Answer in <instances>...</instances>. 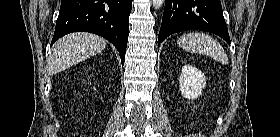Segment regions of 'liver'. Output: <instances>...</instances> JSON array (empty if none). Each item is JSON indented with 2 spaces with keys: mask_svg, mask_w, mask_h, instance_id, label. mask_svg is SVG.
<instances>
[{
  "mask_svg": "<svg viewBox=\"0 0 280 137\" xmlns=\"http://www.w3.org/2000/svg\"><path fill=\"white\" fill-rule=\"evenodd\" d=\"M106 40L91 33H72L59 39L53 46L48 61L50 74H57L68 67L100 53Z\"/></svg>",
  "mask_w": 280,
  "mask_h": 137,
  "instance_id": "obj_1",
  "label": "liver"
}]
</instances>
